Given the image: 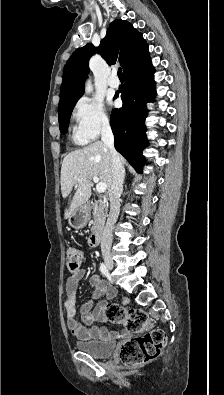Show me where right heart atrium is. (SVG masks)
I'll use <instances>...</instances> for the list:
<instances>
[{
	"mask_svg": "<svg viewBox=\"0 0 224 395\" xmlns=\"http://www.w3.org/2000/svg\"><path fill=\"white\" fill-rule=\"evenodd\" d=\"M75 122V133L86 140H93L111 126L110 117L102 101L82 97L75 103L72 110Z\"/></svg>",
	"mask_w": 224,
	"mask_h": 395,
	"instance_id": "right-heart-atrium-1",
	"label": "right heart atrium"
}]
</instances>
